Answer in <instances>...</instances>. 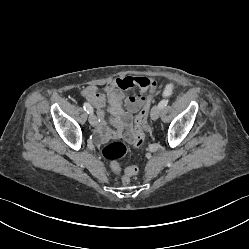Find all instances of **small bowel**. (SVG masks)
Returning <instances> with one entry per match:
<instances>
[{
	"mask_svg": "<svg viewBox=\"0 0 249 249\" xmlns=\"http://www.w3.org/2000/svg\"><path fill=\"white\" fill-rule=\"evenodd\" d=\"M155 81L146 77H118L104 87V93H99L94 85L86 86L82 94L90 102L97 114V136L100 141L109 138L124 136L133 142L134 134L130 127L131 116L128 111L141 109L150 106L155 91ZM138 87L141 90L139 95L127 96L125 90ZM109 103L108 111L112 116L114 129L109 127L106 120L105 102Z\"/></svg>",
	"mask_w": 249,
	"mask_h": 249,
	"instance_id": "small-bowel-1",
	"label": "small bowel"
}]
</instances>
